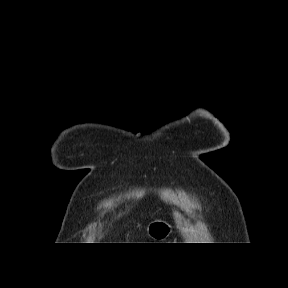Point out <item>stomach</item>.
Segmentation results:
<instances>
[{"mask_svg":"<svg viewBox=\"0 0 288 288\" xmlns=\"http://www.w3.org/2000/svg\"><path fill=\"white\" fill-rule=\"evenodd\" d=\"M172 227L164 221L151 222L147 227V234L153 240L163 241L171 233Z\"/></svg>","mask_w":288,"mask_h":288,"instance_id":"0dacf381","label":"stomach"}]
</instances>
